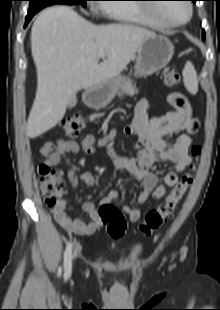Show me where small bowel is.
<instances>
[{"mask_svg":"<svg viewBox=\"0 0 220 310\" xmlns=\"http://www.w3.org/2000/svg\"><path fill=\"white\" fill-rule=\"evenodd\" d=\"M167 101L173 110L150 118L148 116L149 101L142 99L136 107L133 122L123 129L126 135L136 138V146L139 149L136 157H126L115 153L113 141L116 132L112 131L102 138L87 135L80 143L65 139H60L57 142L47 141L39 151L43 165L55 166L59 164L61 157L65 154H76L80 151L92 154L96 146L105 147L115 168L120 173L133 176L142 182V190L136 200L137 206L123 208L131 222L139 221L141 217L139 206L144 204L150 196L155 199L163 198L168 188L178 182L179 176L191 162L189 149L192 138L190 134L197 131L198 119L192 114L189 100L183 93L171 92ZM168 135H176V139L172 143H166L164 137ZM157 160L170 162L174 165V169L165 174L161 184H158L157 175L150 170ZM67 176L71 188H77L79 182L88 186H94L97 182L92 173L84 172L79 175L75 168H69ZM117 198L118 191L112 190L105 197V202H114ZM66 209L67 201L62 199L52 209V212L56 221L69 233L90 236L103 225L98 207L94 202L89 201L82 205V211L88 217V221L72 219L68 216Z\"/></svg>","mask_w":220,"mask_h":310,"instance_id":"obj_1","label":"small bowel"}]
</instances>
